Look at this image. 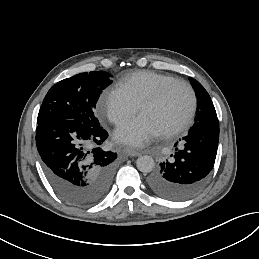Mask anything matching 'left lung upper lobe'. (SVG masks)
<instances>
[{
    "instance_id": "obj_1",
    "label": "left lung upper lobe",
    "mask_w": 259,
    "mask_h": 259,
    "mask_svg": "<svg viewBox=\"0 0 259 259\" xmlns=\"http://www.w3.org/2000/svg\"><path fill=\"white\" fill-rule=\"evenodd\" d=\"M190 82L195 89L197 97V113L195 122L201 119L217 117L216 110L211 101L208 92L204 87L194 78H190Z\"/></svg>"
}]
</instances>
